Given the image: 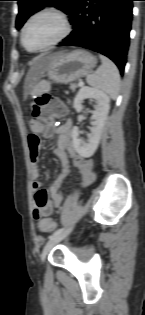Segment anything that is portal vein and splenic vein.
I'll use <instances>...</instances> for the list:
<instances>
[{
  "instance_id": "obj_1",
  "label": "portal vein and splenic vein",
  "mask_w": 145,
  "mask_h": 315,
  "mask_svg": "<svg viewBox=\"0 0 145 315\" xmlns=\"http://www.w3.org/2000/svg\"><path fill=\"white\" fill-rule=\"evenodd\" d=\"M84 85V83L82 82V81H80L79 83H78V86H83Z\"/></svg>"
}]
</instances>
